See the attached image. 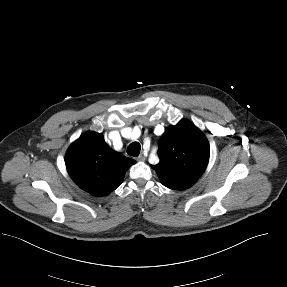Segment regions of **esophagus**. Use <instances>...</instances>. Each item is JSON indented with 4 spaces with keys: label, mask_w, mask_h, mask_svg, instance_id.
I'll list each match as a JSON object with an SVG mask.
<instances>
[{
    "label": "esophagus",
    "mask_w": 287,
    "mask_h": 287,
    "mask_svg": "<svg viewBox=\"0 0 287 287\" xmlns=\"http://www.w3.org/2000/svg\"><path fill=\"white\" fill-rule=\"evenodd\" d=\"M145 160V156L140 154L138 157H137V161H144Z\"/></svg>",
    "instance_id": "34e87169"
}]
</instances>
